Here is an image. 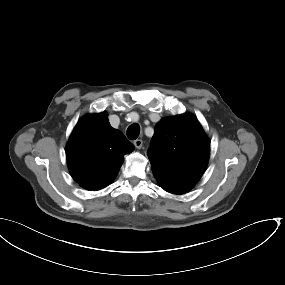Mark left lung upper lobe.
<instances>
[{
    "label": "left lung upper lobe",
    "mask_w": 285,
    "mask_h": 285,
    "mask_svg": "<svg viewBox=\"0 0 285 285\" xmlns=\"http://www.w3.org/2000/svg\"><path fill=\"white\" fill-rule=\"evenodd\" d=\"M210 141L191 114L163 118L157 123L148 157L153 173L195 185L205 171Z\"/></svg>",
    "instance_id": "left-lung-upper-lobe-1"
}]
</instances>
